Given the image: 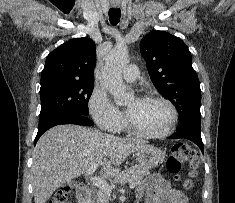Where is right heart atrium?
Returning <instances> with one entry per match:
<instances>
[{
  "mask_svg": "<svg viewBox=\"0 0 235 203\" xmlns=\"http://www.w3.org/2000/svg\"><path fill=\"white\" fill-rule=\"evenodd\" d=\"M89 111L98 126L107 131L117 132L123 126V114L111 104L101 89H94L89 100Z\"/></svg>",
  "mask_w": 235,
  "mask_h": 203,
  "instance_id": "obj_1",
  "label": "right heart atrium"
}]
</instances>
